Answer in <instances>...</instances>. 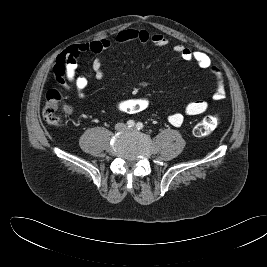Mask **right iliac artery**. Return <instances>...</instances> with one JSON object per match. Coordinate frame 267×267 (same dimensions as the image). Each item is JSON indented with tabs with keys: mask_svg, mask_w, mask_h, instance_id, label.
Masks as SVG:
<instances>
[{
	"mask_svg": "<svg viewBox=\"0 0 267 267\" xmlns=\"http://www.w3.org/2000/svg\"><path fill=\"white\" fill-rule=\"evenodd\" d=\"M134 125H135V122L133 121V120H129L128 122H127V126L128 127H134Z\"/></svg>",
	"mask_w": 267,
	"mask_h": 267,
	"instance_id": "right-iliac-artery-1",
	"label": "right iliac artery"
}]
</instances>
